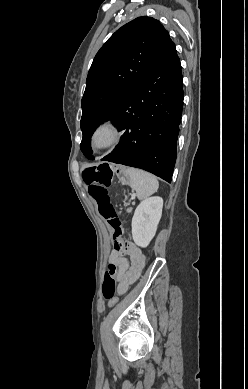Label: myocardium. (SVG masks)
Returning <instances> with one entry per match:
<instances>
[{
    "label": "myocardium",
    "instance_id": "f54148a6",
    "mask_svg": "<svg viewBox=\"0 0 248 389\" xmlns=\"http://www.w3.org/2000/svg\"><path fill=\"white\" fill-rule=\"evenodd\" d=\"M122 137V131L114 121H103L96 126L91 143L97 150H107L117 145Z\"/></svg>",
    "mask_w": 248,
    "mask_h": 389
}]
</instances>
